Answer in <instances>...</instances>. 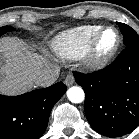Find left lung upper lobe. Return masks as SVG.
I'll list each match as a JSON object with an SVG mask.
<instances>
[{
  "mask_svg": "<svg viewBox=\"0 0 139 139\" xmlns=\"http://www.w3.org/2000/svg\"><path fill=\"white\" fill-rule=\"evenodd\" d=\"M117 24L123 34V42L125 46L133 43H139V36L130 26L120 22H117Z\"/></svg>",
  "mask_w": 139,
  "mask_h": 139,
  "instance_id": "5c2ea615",
  "label": "left lung upper lobe"
}]
</instances>
